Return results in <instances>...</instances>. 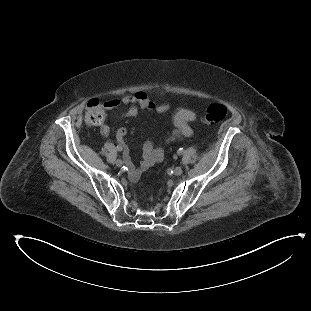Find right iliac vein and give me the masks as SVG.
<instances>
[{"label": "right iliac vein", "instance_id": "right-iliac-vein-1", "mask_svg": "<svg viewBox=\"0 0 311 311\" xmlns=\"http://www.w3.org/2000/svg\"><path fill=\"white\" fill-rule=\"evenodd\" d=\"M116 165H117L118 167H121V166L123 165V161H122L121 159H118V160L116 161Z\"/></svg>", "mask_w": 311, "mask_h": 311}]
</instances>
